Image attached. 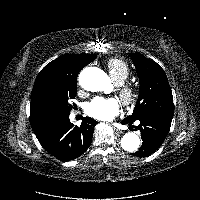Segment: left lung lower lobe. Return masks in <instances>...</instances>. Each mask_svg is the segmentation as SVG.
I'll list each match as a JSON object with an SVG mask.
<instances>
[{
    "instance_id": "1",
    "label": "left lung lower lobe",
    "mask_w": 200,
    "mask_h": 200,
    "mask_svg": "<svg viewBox=\"0 0 200 200\" xmlns=\"http://www.w3.org/2000/svg\"><path fill=\"white\" fill-rule=\"evenodd\" d=\"M137 120L140 121V125L136 128L141 132L143 143L141 148H139L137 152L131 153V155L146 157L154 153L160 147L169 133L172 119H162L155 113H149ZM133 122L134 121L125 118L122 124L132 125Z\"/></svg>"
}]
</instances>
